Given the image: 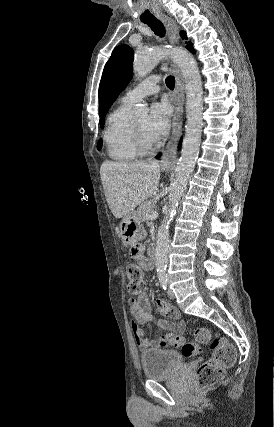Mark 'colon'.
Masks as SVG:
<instances>
[{"label":"colon","instance_id":"5ec220e1","mask_svg":"<svg viewBox=\"0 0 274 427\" xmlns=\"http://www.w3.org/2000/svg\"><path fill=\"white\" fill-rule=\"evenodd\" d=\"M131 257H140V245L134 243L131 245ZM128 291L131 295H136L144 287L142 283L141 270L137 265L127 266ZM195 342H187L181 338L172 337L169 342L180 349L184 358L196 356L197 344L210 345L212 356L199 364L196 374L195 394L203 395L204 391L211 386L223 381L226 371L231 368L236 361V349L229 341L222 337L212 338L211 332L204 326L197 327L194 330ZM163 349L169 348L168 342L162 343Z\"/></svg>","mask_w":274,"mask_h":427}]
</instances>
